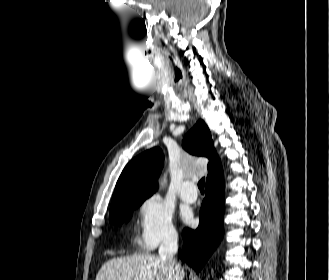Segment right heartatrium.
Instances as JSON below:
<instances>
[{
	"instance_id": "1",
	"label": "right heart atrium",
	"mask_w": 329,
	"mask_h": 280,
	"mask_svg": "<svg viewBox=\"0 0 329 280\" xmlns=\"http://www.w3.org/2000/svg\"><path fill=\"white\" fill-rule=\"evenodd\" d=\"M138 243L146 250H154L160 244L177 238L173 213L169 205L158 195L144 199L138 207Z\"/></svg>"
}]
</instances>
